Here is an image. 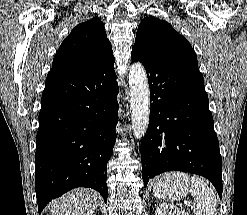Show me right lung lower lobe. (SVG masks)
I'll return each instance as SVG.
<instances>
[{
  "instance_id": "right-lung-lower-lobe-1",
  "label": "right lung lower lobe",
  "mask_w": 247,
  "mask_h": 215,
  "mask_svg": "<svg viewBox=\"0 0 247 215\" xmlns=\"http://www.w3.org/2000/svg\"><path fill=\"white\" fill-rule=\"evenodd\" d=\"M115 59L86 73L52 68L41 98L36 138L35 188L39 214L77 187L107 202V162L118 122Z\"/></svg>"
}]
</instances>
